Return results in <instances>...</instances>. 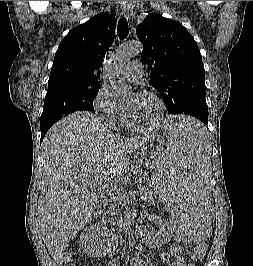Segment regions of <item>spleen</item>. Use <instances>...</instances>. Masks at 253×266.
Returning <instances> with one entry per match:
<instances>
[{"mask_svg":"<svg viewBox=\"0 0 253 266\" xmlns=\"http://www.w3.org/2000/svg\"><path fill=\"white\" fill-rule=\"evenodd\" d=\"M165 145L153 160L149 190L169 210L174 248H202L210 242L216 207H209V147L201 123L192 115L164 117Z\"/></svg>","mask_w":253,"mask_h":266,"instance_id":"spleen-1","label":"spleen"}]
</instances>
